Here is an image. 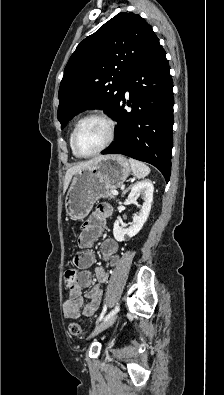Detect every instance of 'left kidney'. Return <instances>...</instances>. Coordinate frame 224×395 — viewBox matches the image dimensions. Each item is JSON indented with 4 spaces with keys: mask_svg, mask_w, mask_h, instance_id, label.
Instances as JSON below:
<instances>
[{
    "mask_svg": "<svg viewBox=\"0 0 224 395\" xmlns=\"http://www.w3.org/2000/svg\"><path fill=\"white\" fill-rule=\"evenodd\" d=\"M153 192L154 186L151 181L148 180L138 182L132 187L131 192L128 195V200L133 203L135 196L137 194H142L144 203L141 207L140 213L133 217V222L128 228L121 227L120 222L118 220L115 221L113 227V235L117 241H124L126 236L133 237L138 234L139 231L142 229L144 223L147 221L151 210Z\"/></svg>",
    "mask_w": 224,
    "mask_h": 395,
    "instance_id": "obj_1",
    "label": "left kidney"
}]
</instances>
